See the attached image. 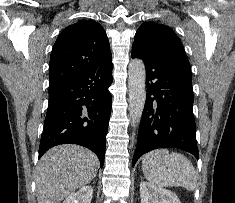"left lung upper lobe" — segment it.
Masks as SVG:
<instances>
[{
  "label": "left lung upper lobe",
  "instance_id": "1",
  "mask_svg": "<svg viewBox=\"0 0 235 203\" xmlns=\"http://www.w3.org/2000/svg\"><path fill=\"white\" fill-rule=\"evenodd\" d=\"M133 47L191 70L181 41L172 28L166 25L154 22L142 24L136 32Z\"/></svg>",
  "mask_w": 235,
  "mask_h": 203
}]
</instances>
